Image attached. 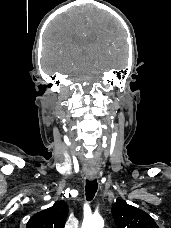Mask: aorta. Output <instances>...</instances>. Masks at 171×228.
Returning <instances> with one entry per match:
<instances>
[{"instance_id": "aorta-1", "label": "aorta", "mask_w": 171, "mask_h": 228, "mask_svg": "<svg viewBox=\"0 0 171 228\" xmlns=\"http://www.w3.org/2000/svg\"><path fill=\"white\" fill-rule=\"evenodd\" d=\"M104 221L101 216L93 215L84 219L82 228H103Z\"/></svg>"}]
</instances>
